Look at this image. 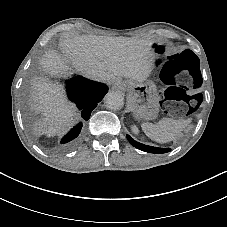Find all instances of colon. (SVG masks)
<instances>
[{
	"instance_id": "colon-1",
	"label": "colon",
	"mask_w": 227,
	"mask_h": 227,
	"mask_svg": "<svg viewBox=\"0 0 227 227\" xmlns=\"http://www.w3.org/2000/svg\"><path fill=\"white\" fill-rule=\"evenodd\" d=\"M153 66L165 86L161 105L169 114H189L200 103L199 94L192 93L201 83L199 59L190 50L172 54L168 45L155 42L151 46Z\"/></svg>"
}]
</instances>
